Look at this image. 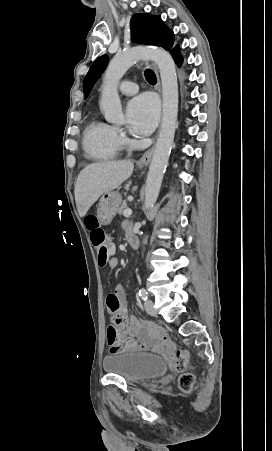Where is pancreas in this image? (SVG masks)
<instances>
[{
    "label": "pancreas",
    "instance_id": "pancreas-1",
    "mask_svg": "<svg viewBox=\"0 0 272 451\" xmlns=\"http://www.w3.org/2000/svg\"><path fill=\"white\" fill-rule=\"evenodd\" d=\"M124 210H128L126 200H124L123 204H121L120 208H118V214H123Z\"/></svg>",
    "mask_w": 272,
    "mask_h": 451
}]
</instances>
